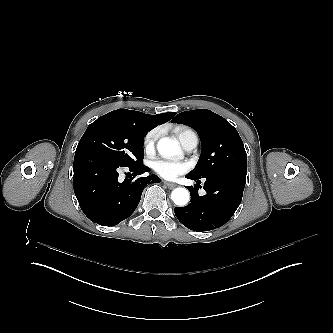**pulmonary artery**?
I'll return each mask as SVG.
<instances>
[{"label": "pulmonary artery", "instance_id": "1", "mask_svg": "<svg viewBox=\"0 0 333 333\" xmlns=\"http://www.w3.org/2000/svg\"><path fill=\"white\" fill-rule=\"evenodd\" d=\"M181 143L184 147V149L188 152L193 151L196 149L198 145V137L197 134L191 130L188 129L185 131L182 136L180 137Z\"/></svg>", "mask_w": 333, "mask_h": 333}]
</instances>
